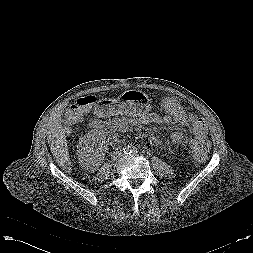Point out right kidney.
Returning a JSON list of instances; mask_svg holds the SVG:
<instances>
[{"mask_svg":"<svg viewBox=\"0 0 253 253\" xmlns=\"http://www.w3.org/2000/svg\"><path fill=\"white\" fill-rule=\"evenodd\" d=\"M108 140L105 132L93 129L84 135L78 144V160L88 171L98 168L105 158Z\"/></svg>","mask_w":253,"mask_h":253,"instance_id":"obj_1","label":"right kidney"}]
</instances>
